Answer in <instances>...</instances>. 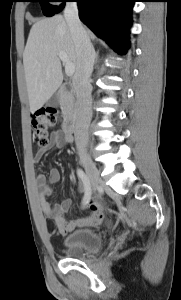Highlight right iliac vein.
<instances>
[{
	"instance_id": "63e3f726",
	"label": "right iliac vein",
	"mask_w": 181,
	"mask_h": 300,
	"mask_svg": "<svg viewBox=\"0 0 181 300\" xmlns=\"http://www.w3.org/2000/svg\"><path fill=\"white\" fill-rule=\"evenodd\" d=\"M79 158L83 167L85 168L90 184L95 190L101 182L99 171L87 153H80Z\"/></svg>"
}]
</instances>
